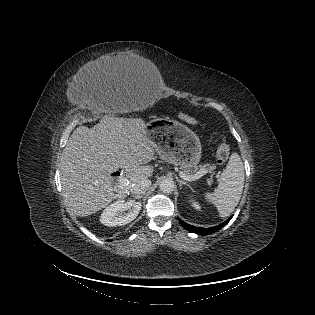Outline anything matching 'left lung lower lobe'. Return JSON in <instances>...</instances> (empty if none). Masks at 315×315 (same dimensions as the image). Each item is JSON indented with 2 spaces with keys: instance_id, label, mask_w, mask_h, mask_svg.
Segmentation results:
<instances>
[{
  "instance_id": "obj_1",
  "label": "left lung lower lobe",
  "mask_w": 315,
  "mask_h": 315,
  "mask_svg": "<svg viewBox=\"0 0 315 315\" xmlns=\"http://www.w3.org/2000/svg\"><path fill=\"white\" fill-rule=\"evenodd\" d=\"M232 217H230L229 219H227L225 222L211 227V228H200V227H195L192 225H189L187 223H185L184 221H182L180 218H178L179 222L181 223V225L188 231L199 234V235H209L212 234L218 230H220L223 226H225L231 219Z\"/></svg>"
}]
</instances>
